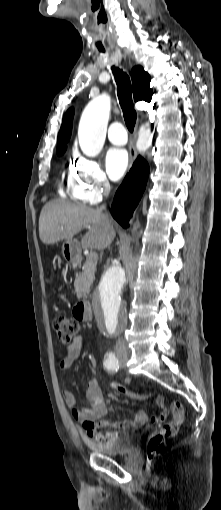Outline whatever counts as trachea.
<instances>
[{
  "label": "trachea",
  "mask_w": 221,
  "mask_h": 510,
  "mask_svg": "<svg viewBox=\"0 0 221 510\" xmlns=\"http://www.w3.org/2000/svg\"><path fill=\"white\" fill-rule=\"evenodd\" d=\"M112 72L117 84L118 99L123 110L126 126L130 132H133L137 115L132 102L130 78L117 67H112Z\"/></svg>",
  "instance_id": "1"
}]
</instances>
